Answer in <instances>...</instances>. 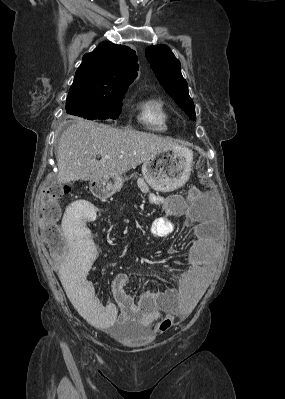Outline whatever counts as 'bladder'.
<instances>
[{"instance_id":"31cf9c89","label":"bladder","mask_w":285,"mask_h":399,"mask_svg":"<svg viewBox=\"0 0 285 399\" xmlns=\"http://www.w3.org/2000/svg\"><path fill=\"white\" fill-rule=\"evenodd\" d=\"M118 338L127 345L135 348H143L147 345V334L143 332L134 333L128 338H122L121 336H118Z\"/></svg>"}]
</instances>
